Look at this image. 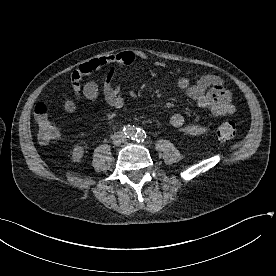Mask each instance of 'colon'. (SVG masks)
<instances>
[{
  "mask_svg": "<svg viewBox=\"0 0 276 276\" xmlns=\"http://www.w3.org/2000/svg\"><path fill=\"white\" fill-rule=\"evenodd\" d=\"M67 111L73 110L70 102L65 103ZM35 121L38 127V139L42 144L54 142L61 137V132L56 124L50 119L46 104L38 103L34 110ZM237 136L236 125L231 121L221 123L217 128V137L221 141H231Z\"/></svg>",
  "mask_w": 276,
  "mask_h": 276,
  "instance_id": "1",
  "label": "colon"
}]
</instances>
